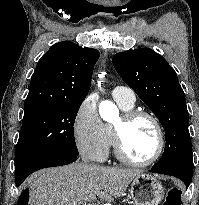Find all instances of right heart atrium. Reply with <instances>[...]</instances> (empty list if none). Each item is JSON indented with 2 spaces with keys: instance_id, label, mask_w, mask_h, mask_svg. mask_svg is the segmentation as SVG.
Segmentation results:
<instances>
[{
  "instance_id": "d8ad5b80",
  "label": "right heart atrium",
  "mask_w": 199,
  "mask_h": 205,
  "mask_svg": "<svg viewBox=\"0 0 199 205\" xmlns=\"http://www.w3.org/2000/svg\"><path fill=\"white\" fill-rule=\"evenodd\" d=\"M73 136L82 156L95 162H102L107 158L111 138L98 115L93 98L87 97L80 104L73 121Z\"/></svg>"
}]
</instances>
